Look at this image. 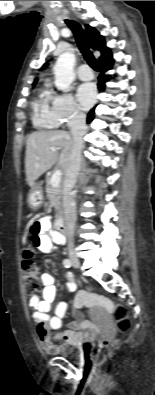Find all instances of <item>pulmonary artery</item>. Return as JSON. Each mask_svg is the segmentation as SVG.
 Segmentation results:
<instances>
[{"label": "pulmonary artery", "instance_id": "obj_1", "mask_svg": "<svg viewBox=\"0 0 155 395\" xmlns=\"http://www.w3.org/2000/svg\"><path fill=\"white\" fill-rule=\"evenodd\" d=\"M78 77L83 81L92 80L94 75L88 65L83 64L77 69Z\"/></svg>", "mask_w": 155, "mask_h": 395}]
</instances>
